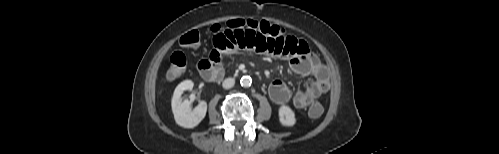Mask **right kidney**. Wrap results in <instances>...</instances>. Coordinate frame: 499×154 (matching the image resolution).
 Returning a JSON list of instances; mask_svg holds the SVG:
<instances>
[{
	"mask_svg": "<svg viewBox=\"0 0 499 154\" xmlns=\"http://www.w3.org/2000/svg\"><path fill=\"white\" fill-rule=\"evenodd\" d=\"M194 83L191 80L181 82L175 89L172 98V111L176 123L184 128L196 127L205 117L207 112V103L200 101L199 104L191 110V101L182 100L181 95L186 90H192Z\"/></svg>",
	"mask_w": 499,
	"mask_h": 154,
	"instance_id": "ca27d5eb",
	"label": "right kidney"
}]
</instances>
